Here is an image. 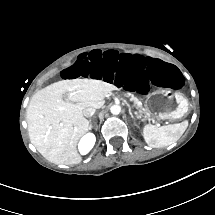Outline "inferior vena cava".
Wrapping results in <instances>:
<instances>
[{
    "mask_svg": "<svg viewBox=\"0 0 215 215\" xmlns=\"http://www.w3.org/2000/svg\"><path fill=\"white\" fill-rule=\"evenodd\" d=\"M96 109L93 107H87L83 109V116L86 118L92 117L95 114Z\"/></svg>",
    "mask_w": 215,
    "mask_h": 215,
    "instance_id": "obj_1",
    "label": "inferior vena cava"
}]
</instances>
